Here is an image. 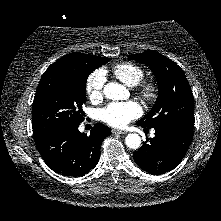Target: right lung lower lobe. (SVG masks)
Here are the masks:
<instances>
[{
	"label": "right lung lower lobe",
	"instance_id": "right-lung-lower-lobe-1",
	"mask_svg": "<svg viewBox=\"0 0 221 221\" xmlns=\"http://www.w3.org/2000/svg\"><path fill=\"white\" fill-rule=\"evenodd\" d=\"M79 124L58 129L35 141L41 157L55 172L77 177L96 166L101 142L111 131L103 124H96L87 135L78 130Z\"/></svg>",
	"mask_w": 221,
	"mask_h": 221
}]
</instances>
